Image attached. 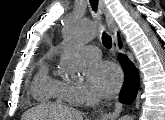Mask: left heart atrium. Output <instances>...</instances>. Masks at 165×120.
<instances>
[{
	"label": "left heart atrium",
	"mask_w": 165,
	"mask_h": 120,
	"mask_svg": "<svg viewBox=\"0 0 165 120\" xmlns=\"http://www.w3.org/2000/svg\"><path fill=\"white\" fill-rule=\"evenodd\" d=\"M121 82V72L113 63L96 62L88 70V85L97 96H112L119 89Z\"/></svg>",
	"instance_id": "39dd6f15"
}]
</instances>
